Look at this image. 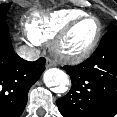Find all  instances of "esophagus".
<instances>
[{"instance_id":"esophagus-1","label":"esophagus","mask_w":117,"mask_h":117,"mask_svg":"<svg viewBox=\"0 0 117 117\" xmlns=\"http://www.w3.org/2000/svg\"><path fill=\"white\" fill-rule=\"evenodd\" d=\"M55 66V62L51 58L46 59V68Z\"/></svg>"}]
</instances>
